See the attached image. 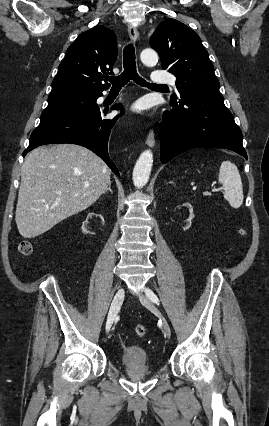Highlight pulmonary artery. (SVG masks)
<instances>
[{"mask_svg": "<svg viewBox=\"0 0 269 426\" xmlns=\"http://www.w3.org/2000/svg\"><path fill=\"white\" fill-rule=\"evenodd\" d=\"M151 78L156 84L159 85L167 86L176 84V78L174 75L166 73L165 71L160 69L154 70Z\"/></svg>", "mask_w": 269, "mask_h": 426, "instance_id": "pulmonary-artery-1", "label": "pulmonary artery"}]
</instances>
